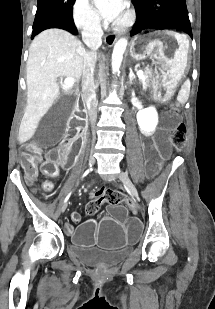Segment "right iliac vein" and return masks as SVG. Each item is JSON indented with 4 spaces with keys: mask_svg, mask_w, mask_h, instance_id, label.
<instances>
[{
    "mask_svg": "<svg viewBox=\"0 0 215 309\" xmlns=\"http://www.w3.org/2000/svg\"><path fill=\"white\" fill-rule=\"evenodd\" d=\"M94 163H95V158L93 156H90L89 162H88L89 167H92ZM66 208H67V203L63 204V206L61 207V212H64Z\"/></svg>",
    "mask_w": 215,
    "mask_h": 309,
    "instance_id": "right-iliac-vein-1",
    "label": "right iliac vein"
}]
</instances>
